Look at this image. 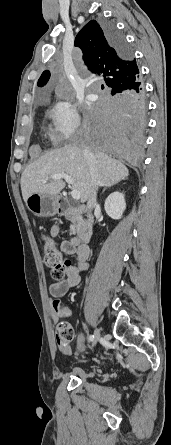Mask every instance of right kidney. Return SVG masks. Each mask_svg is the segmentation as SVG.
<instances>
[{"label":"right kidney","mask_w":171,"mask_h":445,"mask_svg":"<svg viewBox=\"0 0 171 445\" xmlns=\"http://www.w3.org/2000/svg\"><path fill=\"white\" fill-rule=\"evenodd\" d=\"M125 208L124 195L118 191L111 193L105 200L104 209L112 219H121Z\"/></svg>","instance_id":"right-kidney-1"}]
</instances>
